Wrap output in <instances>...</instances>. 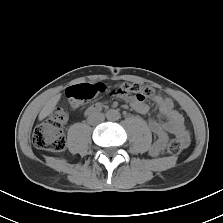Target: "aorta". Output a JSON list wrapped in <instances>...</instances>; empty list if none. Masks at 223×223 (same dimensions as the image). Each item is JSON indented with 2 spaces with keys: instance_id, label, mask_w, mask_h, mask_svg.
<instances>
[{
  "instance_id": "1",
  "label": "aorta",
  "mask_w": 223,
  "mask_h": 223,
  "mask_svg": "<svg viewBox=\"0 0 223 223\" xmlns=\"http://www.w3.org/2000/svg\"><path fill=\"white\" fill-rule=\"evenodd\" d=\"M108 120H117L119 118V113L116 110H109L106 113Z\"/></svg>"
}]
</instances>
